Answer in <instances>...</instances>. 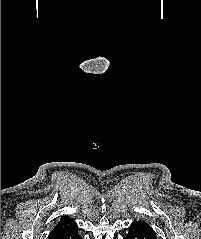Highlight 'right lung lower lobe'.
I'll use <instances>...</instances> for the list:
<instances>
[{
    "label": "right lung lower lobe",
    "mask_w": 201,
    "mask_h": 239,
    "mask_svg": "<svg viewBox=\"0 0 201 239\" xmlns=\"http://www.w3.org/2000/svg\"><path fill=\"white\" fill-rule=\"evenodd\" d=\"M77 239H82L80 235H78V237H76Z\"/></svg>",
    "instance_id": "1"
}]
</instances>
